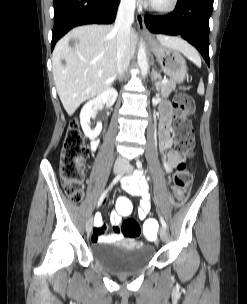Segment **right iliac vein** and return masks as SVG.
Wrapping results in <instances>:
<instances>
[{"mask_svg":"<svg viewBox=\"0 0 247 304\" xmlns=\"http://www.w3.org/2000/svg\"><path fill=\"white\" fill-rule=\"evenodd\" d=\"M122 170H123V166L122 165H120V164H116L115 166H114V173L115 174H120L121 172H122ZM92 226H93V217L92 216H90L89 218H88V220L86 221V225H85V230H86V233L89 235L90 234V232H91V230H92Z\"/></svg>","mask_w":247,"mask_h":304,"instance_id":"1","label":"right iliac vein"}]
</instances>
